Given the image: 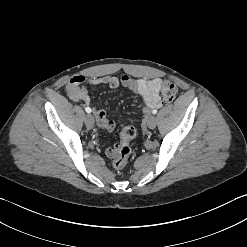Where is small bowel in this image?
<instances>
[{
  "instance_id": "small-bowel-1",
  "label": "small bowel",
  "mask_w": 247,
  "mask_h": 247,
  "mask_svg": "<svg viewBox=\"0 0 247 247\" xmlns=\"http://www.w3.org/2000/svg\"><path fill=\"white\" fill-rule=\"evenodd\" d=\"M162 83L163 81L158 78L146 80L132 78L128 75H123L122 77L106 75L96 78H86L85 76L77 75L69 80L66 89L71 100L81 101L84 104H90L91 98L85 88L86 84L93 86L102 85L113 89L119 86L128 88L141 99L143 105L142 129L144 131L146 128L149 110L160 107L162 104ZM94 113L99 127L105 130H112L115 127V122L108 119L104 109H95ZM114 148L115 146L106 148V155L108 157H114Z\"/></svg>"
}]
</instances>
